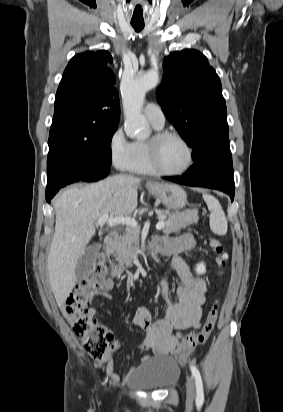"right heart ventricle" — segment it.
Instances as JSON below:
<instances>
[{
  "instance_id": "1",
  "label": "right heart ventricle",
  "mask_w": 283,
  "mask_h": 412,
  "mask_svg": "<svg viewBox=\"0 0 283 412\" xmlns=\"http://www.w3.org/2000/svg\"><path fill=\"white\" fill-rule=\"evenodd\" d=\"M153 127L156 130L162 129L155 126ZM147 142L148 140H136L132 143V155L127 168L130 172L142 175L155 174L150 164Z\"/></svg>"
}]
</instances>
